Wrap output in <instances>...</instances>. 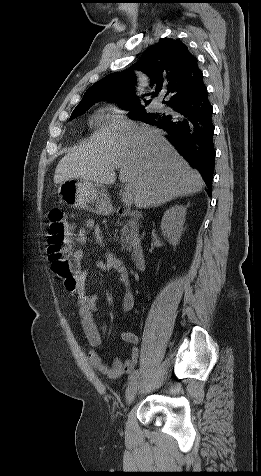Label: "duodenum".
<instances>
[{
  "instance_id": "410a0bca",
  "label": "duodenum",
  "mask_w": 261,
  "mask_h": 476,
  "mask_svg": "<svg viewBox=\"0 0 261 476\" xmlns=\"http://www.w3.org/2000/svg\"><path fill=\"white\" fill-rule=\"evenodd\" d=\"M117 215L123 217V216H127L128 214L125 210L119 209L117 211ZM131 260L134 267L138 271H142L145 269V265H146L145 253L141 247H136L133 249L131 253Z\"/></svg>"
}]
</instances>
